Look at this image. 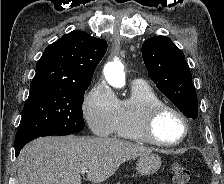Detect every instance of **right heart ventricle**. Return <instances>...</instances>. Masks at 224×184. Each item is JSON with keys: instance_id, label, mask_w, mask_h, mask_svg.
Wrapping results in <instances>:
<instances>
[{"instance_id": "right-heart-ventricle-1", "label": "right heart ventricle", "mask_w": 224, "mask_h": 184, "mask_svg": "<svg viewBox=\"0 0 224 184\" xmlns=\"http://www.w3.org/2000/svg\"><path fill=\"white\" fill-rule=\"evenodd\" d=\"M162 102L147 84L134 82L129 95L118 100L112 134L134 142L145 143L140 132V120L152 104Z\"/></svg>"}]
</instances>
